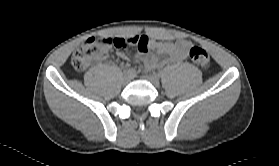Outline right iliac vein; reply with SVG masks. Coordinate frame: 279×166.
<instances>
[{
  "label": "right iliac vein",
  "instance_id": "63e3f726",
  "mask_svg": "<svg viewBox=\"0 0 279 166\" xmlns=\"http://www.w3.org/2000/svg\"><path fill=\"white\" fill-rule=\"evenodd\" d=\"M131 79H132L131 75L125 74L123 79H122V83L126 85L131 81Z\"/></svg>",
  "mask_w": 279,
  "mask_h": 166
}]
</instances>
